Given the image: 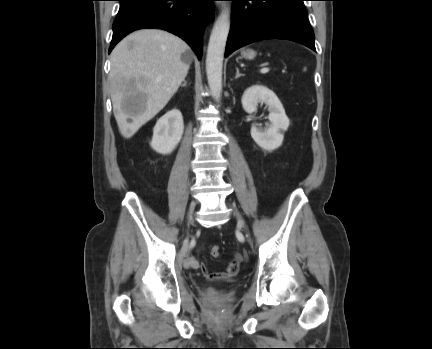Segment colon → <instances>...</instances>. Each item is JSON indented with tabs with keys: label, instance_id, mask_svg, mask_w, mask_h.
<instances>
[{
	"label": "colon",
	"instance_id": "1",
	"mask_svg": "<svg viewBox=\"0 0 432 349\" xmlns=\"http://www.w3.org/2000/svg\"><path fill=\"white\" fill-rule=\"evenodd\" d=\"M210 254L212 257L217 258L221 254L220 247L218 245H214L211 247Z\"/></svg>",
	"mask_w": 432,
	"mask_h": 349
}]
</instances>
